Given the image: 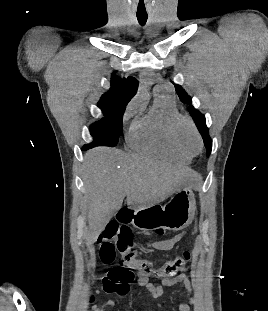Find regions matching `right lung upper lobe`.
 <instances>
[{"label":"right lung upper lobe","mask_w":268,"mask_h":311,"mask_svg":"<svg viewBox=\"0 0 268 311\" xmlns=\"http://www.w3.org/2000/svg\"><path fill=\"white\" fill-rule=\"evenodd\" d=\"M138 89V81L129 76L120 78L115 74L111 76V87L108 92L104 93L98 105L116 110H125L128 102L135 96Z\"/></svg>","instance_id":"1"}]
</instances>
